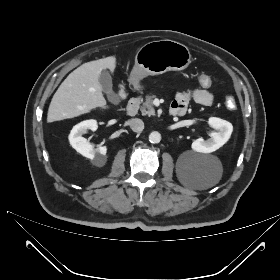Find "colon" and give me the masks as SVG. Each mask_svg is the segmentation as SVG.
Segmentation results:
<instances>
[{
	"instance_id": "obj_1",
	"label": "colon",
	"mask_w": 280,
	"mask_h": 280,
	"mask_svg": "<svg viewBox=\"0 0 280 280\" xmlns=\"http://www.w3.org/2000/svg\"><path fill=\"white\" fill-rule=\"evenodd\" d=\"M194 81H195V84L202 89H207L212 84L211 76L209 74H206V73H203V72L197 73L195 75ZM225 105L228 109L234 110L236 108L235 98L233 96H230V95L226 96L225 97Z\"/></svg>"
}]
</instances>
